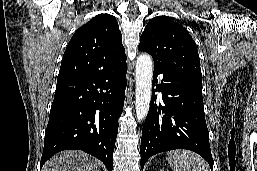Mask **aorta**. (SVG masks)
I'll list each match as a JSON object with an SVG mask.
<instances>
[{
	"label": "aorta",
	"instance_id": "obj_1",
	"mask_svg": "<svg viewBox=\"0 0 257 171\" xmlns=\"http://www.w3.org/2000/svg\"><path fill=\"white\" fill-rule=\"evenodd\" d=\"M153 61L149 54L143 53L136 60V118H146L151 101Z\"/></svg>",
	"mask_w": 257,
	"mask_h": 171
}]
</instances>
